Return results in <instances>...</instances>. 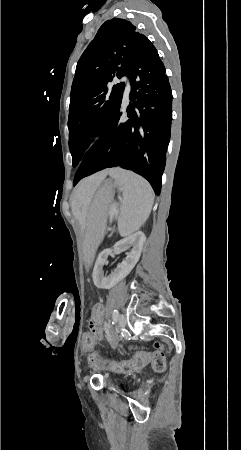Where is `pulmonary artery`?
Segmentation results:
<instances>
[{
	"label": "pulmonary artery",
	"mask_w": 241,
	"mask_h": 450,
	"mask_svg": "<svg viewBox=\"0 0 241 450\" xmlns=\"http://www.w3.org/2000/svg\"><path fill=\"white\" fill-rule=\"evenodd\" d=\"M124 87L126 88L125 93H126L127 95H130V94L132 93V90L130 89L131 84H130L129 82H126V83L124 84Z\"/></svg>",
	"instance_id": "pulmonary-artery-1"
}]
</instances>
